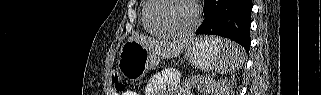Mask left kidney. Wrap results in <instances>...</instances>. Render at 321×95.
Segmentation results:
<instances>
[{
	"instance_id": "left-kidney-1",
	"label": "left kidney",
	"mask_w": 321,
	"mask_h": 95,
	"mask_svg": "<svg viewBox=\"0 0 321 95\" xmlns=\"http://www.w3.org/2000/svg\"><path fill=\"white\" fill-rule=\"evenodd\" d=\"M226 94H228L227 89L224 88V87H219V88L216 90V92H215L214 95H226Z\"/></svg>"
}]
</instances>
